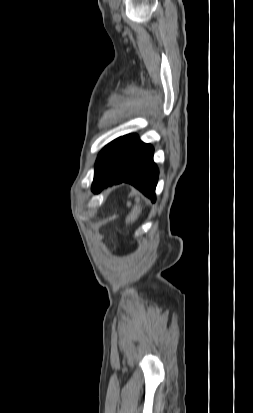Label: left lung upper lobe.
<instances>
[{
    "label": "left lung upper lobe",
    "mask_w": 253,
    "mask_h": 413,
    "mask_svg": "<svg viewBox=\"0 0 253 413\" xmlns=\"http://www.w3.org/2000/svg\"><path fill=\"white\" fill-rule=\"evenodd\" d=\"M121 137L115 139L108 145H106L101 152L98 155V158L96 160V165H95V172L106 162V160L109 158V156L112 154L114 149L116 148L119 140Z\"/></svg>",
    "instance_id": "obj_1"
}]
</instances>
